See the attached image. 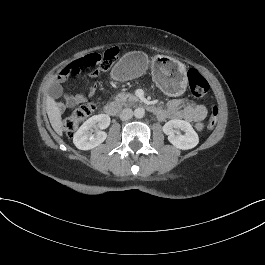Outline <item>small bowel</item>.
Masks as SVG:
<instances>
[{
	"label": "small bowel",
	"instance_id": "c3829d8e",
	"mask_svg": "<svg viewBox=\"0 0 265 265\" xmlns=\"http://www.w3.org/2000/svg\"><path fill=\"white\" fill-rule=\"evenodd\" d=\"M98 72L93 71L90 73L91 78H95ZM95 91V85L92 84L89 87L88 93L92 95ZM62 93L61 87L58 84H53L51 87V94L54 97L60 96ZM65 103H59L58 109L60 111L65 108H72L78 104L84 103L87 100L86 95L81 93L65 95ZM207 115V108L201 104H193L186 99H173L167 103L165 109H161L159 117L161 119L171 120H184L187 122H193L198 131L203 128V120Z\"/></svg>",
	"mask_w": 265,
	"mask_h": 265
}]
</instances>
